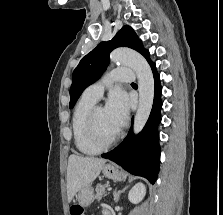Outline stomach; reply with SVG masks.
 I'll return each instance as SVG.
<instances>
[{
  "label": "stomach",
  "instance_id": "stomach-1",
  "mask_svg": "<svg viewBox=\"0 0 223 215\" xmlns=\"http://www.w3.org/2000/svg\"><path fill=\"white\" fill-rule=\"evenodd\" d=\"M102 173L105 175V177L114 179V181H121L123 177L122 171H119L114 163H104ZM90 190L91 187H89V185H87V187H83V189H80L78 197L75 199V201H78L80 209H83V207H86V205H89V203L93 201Z\"/></svg>",
  "mask_w": 223,
  "mask_h": 215
}]
</instances>
